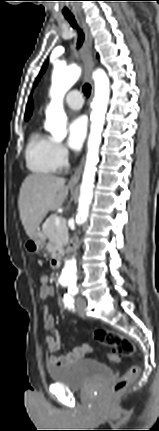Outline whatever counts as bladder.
<instances>
[{
    "instance_id": "bladder-1",
    "label": "bladder",
    "mask_w": 159,
    "mask_h": 431,
    "mask_svg": "<svg viewBox=\"0 0 159 431\" xmlns=\"http://www.w3.org/2000/svg\"><path fill=\"white\" fill-rule=\"evenodd\" d=\"M47 374L53 383L76 390L110 377L112 370L93 359H78L62 366H49Z\"/></svg>"
}]
</instances>
